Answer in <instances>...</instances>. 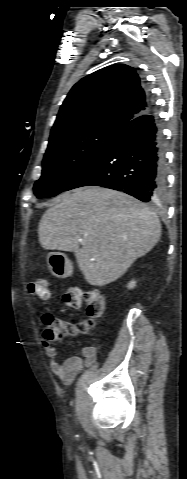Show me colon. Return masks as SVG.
<instances>
[{
	"mask_svg": "<svg viewBox=\"0 0 187 479\" xmlns=\"http://www.w3.org/2000/svg\"><path fill=\"white\" fill-rule=\"evenodd\" d=\"M30 295L40 300L50 298L49 281L47 278H38L28 285ZM62 304L67 309L84 308L86 319L71 323L60 321L50 313L42 316L46 326L43 336L49 340H58L67 335H76L91 331L105 311V300L97 289L82 290L77 286L68 287L62 295Z\"/></svg>",
	"mask_w": 187,
	"mask_h": 479,
	"instance_id": "5ec220e1",
	"label": "colon"
}]
</instances>
